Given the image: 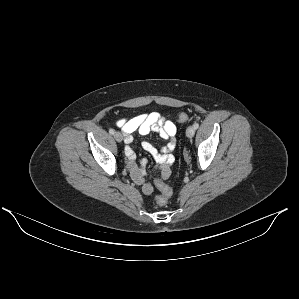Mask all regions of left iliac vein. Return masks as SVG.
Masks as SVG:
<instances>
[{"label":"left iliac vein","mask_w":299,"mask_h":299,"mask_svg":"<svg viewBox=\"0 0 299 299\" xmlns=\"http://www.w3.org/2000/svg\"><path fill=\"white\" fill-rule=\"evenodd\" d=\"M194 134H195L194 126H189L186 130L187 137L192 138L194 136Z\"/></svg>","instance_id":"left-iliac-vein-1"}]
</instances>
